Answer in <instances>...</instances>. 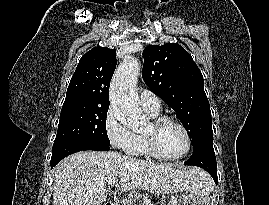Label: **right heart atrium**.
I'll use <instances>...</instances> for the list:
<instances>
[{"mask_svg": "<svg viewBox=\"0 0 269 205\" xmlns=\"http://www.w3.org/2000/svg\"><path fill=\"white\" fill-rule=\"evenodd\" d=\"M103 127L109 143L116 149L127 151L132 145L134 134L122 125L112 107L108 108Z\"/></svg>", "mask_w": 269, "mask_h": 205, "instance_id": "d8ad5b80", "label": "right heart atrium"}]
</instances>
